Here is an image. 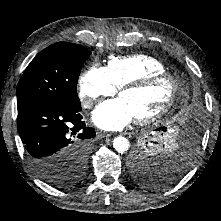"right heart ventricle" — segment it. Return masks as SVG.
I'll return each instance as SVG.
<instances>
[{
	"mask_svg": "<svg viewBox=\"0 0 221 221\" xmlns=\"http://www.w3.org/2000/svg\"><path fill=\"white\" fill-rule=\"evenodd\" d=\"M106 69L116 88L148 74L166 71L162 62L145 54L112 56L108 60Z\"/></svg>",
	"mask_w": 221,
	"mask_h": 221,
	"instance_id": "right-heart-ventricle-1",
	"label": "right heart ventricle"
}]
</instances>
